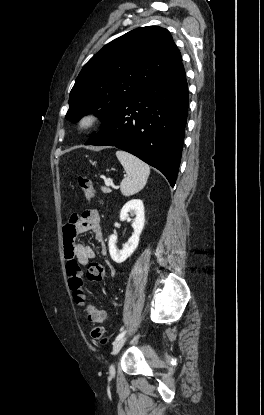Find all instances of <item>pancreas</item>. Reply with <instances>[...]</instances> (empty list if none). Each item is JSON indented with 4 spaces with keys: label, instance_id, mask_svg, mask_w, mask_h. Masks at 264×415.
I'll return each mask as SVG.
<instances>
[{
    "label": "pancreas",
    "instance_id": "cf45deb5",
    "mask_svg": "<svg viewBox=\"0 0 264 415\" xmlns=\"http://www.w3.org/2000/svg\"><path fill=\"white\" fill-rule=\"evenodd\" d=\"M101 190H102L103 193H110L111 192V190L109 188L104 187V186L101 188Z\"/></svg>",
    "mask_w": 264,
    "mask_h": 415
}]
</instances>
